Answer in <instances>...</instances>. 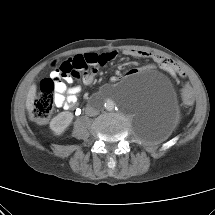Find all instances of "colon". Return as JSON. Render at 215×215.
<instances>
[{
	"instance_id": "1",
	"label": "colon",
	"mask_w": 215,
	"mask_h": 215,
	"mask_svg": "<svg viewBox=\"0 0 215 215\" xmlns=\"http://www.w3.org/2000/svg\"><path fill=\"white\" fill-rule=\"evenodd\" d=\"M169 63V69L181 74L180 70H178L171 62ZM81 69H83V63L79 58H75L73 61L67 60L55 68L57 73L56 76H50L42 80L40 90L35 95L31 108V116L36 122H47L53 112L56 81L60 77L68 75L77 77ZM183 102L186 106L192 103V99L188 93L183 94Z\"/></svg>"
}]
</instances>
